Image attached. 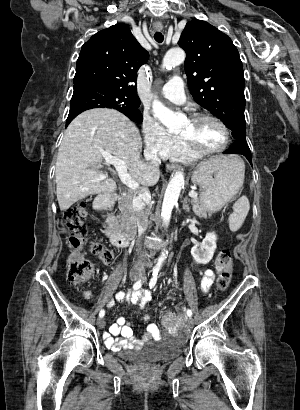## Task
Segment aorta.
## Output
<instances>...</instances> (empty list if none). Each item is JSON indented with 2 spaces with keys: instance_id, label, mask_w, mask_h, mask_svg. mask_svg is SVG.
<instances>
[{
  "instance_id": "obj_1",
  "label": "aorta",
  "mask_w": 300,
  "mask_h": 410,
  "mask_svg": "<svg viewBox=\"0 0 300 410\" xmlns=\"http://www.w3.org/2000/svg\"><path fill=\"white\" fill-rule=\"evenodd\" d=\"M185 60V52L180 48L169 50L164 59L162 68L170 69L176 65L183 63ZM153 114L163 125L170 131H179L182 126V118L177 116L173 111L165 107L161 102L154 101ZM184 186V174L182 171H176L168 185L164 194L162 203L161 216L165 226H168L172 214L173 207L177 204L182 187ZM168 255L167 251H163L158 258L156 270L158 271Z\"/></svg>"
}]
</instances>
